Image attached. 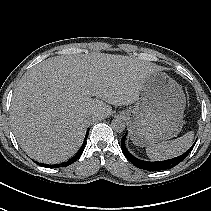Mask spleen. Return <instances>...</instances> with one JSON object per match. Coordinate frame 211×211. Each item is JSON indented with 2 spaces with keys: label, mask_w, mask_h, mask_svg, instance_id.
<instances>
[{
  "label": "spleen",
  "mask_w": 211,
  "mask_h": 211,
  "mask_svg": "<svg viewBox=\"0 0 211 211\" xmlns=\"http://www.w3.org/2000/svg\"><path fill=\"white\" fill-rule=\"evenodd\" d=\"M194 132L189 131L182 137L171 141H163L146 147L147 156L152 160H164L176 157L192 145Z\"/></svg>",
  "instance_id": "spleen-1"
}]
</instances>
